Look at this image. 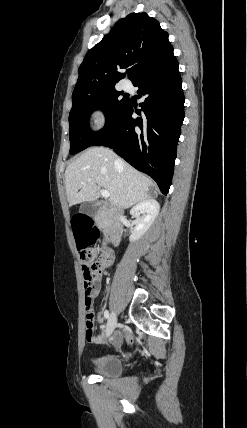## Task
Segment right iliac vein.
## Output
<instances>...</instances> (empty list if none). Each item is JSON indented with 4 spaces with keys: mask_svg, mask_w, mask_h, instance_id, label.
Returning a JSON list of instances; mask_svg holds the SVG:
<instances>
[{
    "mask_svg": "<svg viewBox=\"0 0 247 428\" xmlns=\"http://www.w3.org/2000/svg\"><path fill=\"white\" fill-rule=\"evenodd\" d=\"M117 325V318L116 314L114 312L111 313L109 316L107 326H106V336L111 335V333L114 331L115 327Z\"/></svg>",
    "mask_w": 247,
    "mask_h": 428,
    "instance_id": "right-iliac-vein-1",
    "label": "right iliac vein"
}]
</instances>
